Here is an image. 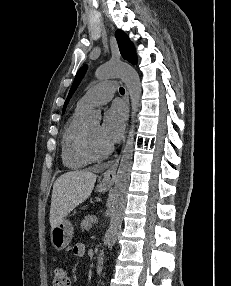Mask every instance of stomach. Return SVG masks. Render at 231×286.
I'll return each instance as SVG.
<instances>
[{
    "instance_id": "1",
    "label": "stomach",
    "mask_w": 231,
    "mask_h": 286,
    "mask_svg": "<svg viewBox=\"0 0 231 286\" xmlns=\"http://www.w3.org/2000/svg\"><path fill=\"white\" fill-rule=\"evenodd\" d=\"M110 189V186L99 185L97 190L99 192H106ZM73 236V226L71 222L67 219H63L55 227H51L50 230V240L52 246L61 251L65 249L71 242Z\"/></svg>"
}]
</instances>
